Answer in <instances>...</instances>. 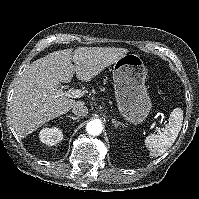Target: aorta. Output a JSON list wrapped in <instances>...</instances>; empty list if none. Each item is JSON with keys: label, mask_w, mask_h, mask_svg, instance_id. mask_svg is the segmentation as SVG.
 <instances>
[{"label": "aorta", "mask_w": 199, "mask_h": 199, "mask_svg": "<svg viewBox=\"0 0 199 199\" xmlns=\"http://www.w3.org/2000/svg\"><path fill=\"white\" fill-rule=\"evenodd\" d=\"M102 129V123L98 119L92 120L86 125V131L93 136L99 135L102 132Z\"/></svg>", "instance_id": "aorta-1"}]
</instances>
